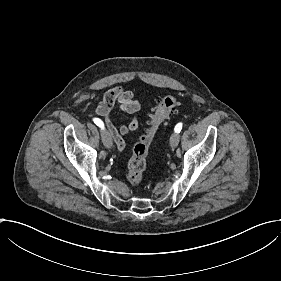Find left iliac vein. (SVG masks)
<instances>
[{"instance_id":"left-iliac-vein-1","label":"left iliac vein","mask_w":281,"mask_h":281,"mask_svg":"<svg viewBox=\"0 0 281 281\" xmlns=\"http://www.w3.org/2000/svg\"><path fill=\"white\" fill-rule=\"evenodd\" d=\"M171 140L169 141L171 144V148H176L178 146L179 143V135L176 132H173L170 136Z\"/></svg>"}]
</instances>
